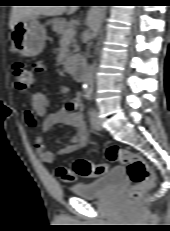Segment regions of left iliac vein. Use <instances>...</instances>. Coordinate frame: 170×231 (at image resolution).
<instances>
[{"instance_id":"4c4485c4","label":"left iliac vein","mask_w":170,"mask_h":231,"mask_svg":"<svg viewBox=\"0 0 170 231\" xmlns=\"http://www.w3.org/2000/svg\"><path fill=\"white\" fill-rule=\"evenodd\" d=\"M90 124H91L92 128L97 130V131H100L102 129L101 122H100V119L98 117V112L95 109H93L90 112Z\"/></svg>"}]
</instances>
